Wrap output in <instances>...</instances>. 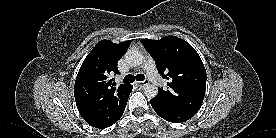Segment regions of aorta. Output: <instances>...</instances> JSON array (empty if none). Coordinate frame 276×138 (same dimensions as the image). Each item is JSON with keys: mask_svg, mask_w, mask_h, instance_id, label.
Here are the masks:
<instances>
[{"mask_svg": "<svg viewBox=\"0 0 276 138\" xmlns=\"http://www.w3.org/2000/svg\"><path fill=\"white\" fill-rule=\"evenodd\" d=\"M125 60L130 66L137 67L143 63V55L137 49H129L125 54ZM144 94L149 99L154 98L158 94V87L152 84H147L144 87Z\"/></svg>", "mask_w": 276, "mask_h": 138, "instance_id": "762f6f07", "label": "aorta"}]
</instances>
